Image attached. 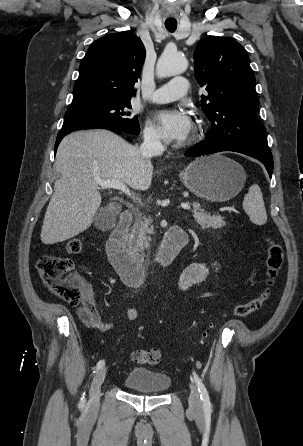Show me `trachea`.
Instances as JSON below:
<instances>
[{
	"instance_id": "1",
	"label": "trachea",
	"mask_w": 303,
	"mask_h": 446,
	"mask_svg": "<svg viewBox=\"0 0 303 446\" xmlns=\"http://www.w3.org/2000/svg\"><path fill=\"white\" fill-rule=\"evenodd\" d=\"M165 27L168 31L174 32L177 29V21L167 20L165 21Z\"/></svg>"
}]
</instances>
